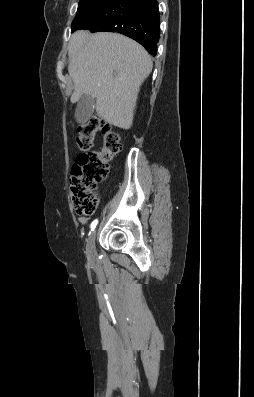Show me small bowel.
<instances>
[{
	"instance_id": "obj_1",
	"label": "small bowel",
	"mask_w": 254,
	"mask_h": 397,
	"mask_svg": "<svg viewBox=\"0 0 254 397\" xmlns=\"http://www.w3.org/2000/svg\"><path fill=\"white\" fill-rule=\"evenodd\" d=\"M79 221H80V223H82V224H87V219L85 218V217H80L79 218Z\"/></svg>"
}]
</instances>
